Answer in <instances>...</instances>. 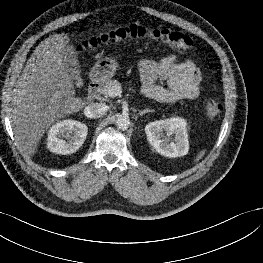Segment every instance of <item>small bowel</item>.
<instances>
[{"mask_svg":"<svg viewBox=\"0 0 263 263\" xmlns=\"http://www.w3.org/2000/svg\"><path fill=\"white\" fill-rule=\"evenodd\" d=\"M138 69L141 91L150 99L173 103L196 99L200 94L201 75L191 60L178 61L174 54L159 60L145 58L138 61Z\"/></svg>","mask_w":263,"mask_h":263,"instance_id":"small-bowel-1","label":"small bowel"}]
</instances>
